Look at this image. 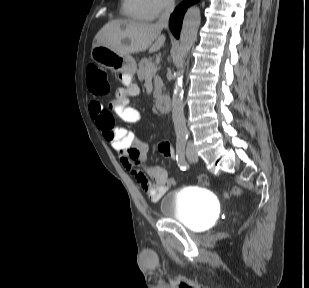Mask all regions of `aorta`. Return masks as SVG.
Segmentation results:
<instances>
[{"label":"aorta","instance_id":"obj_1","mask_svg":"<svg viewBox=\"0 0 309 288\" xmlns=\"http://www.w3.org/2000/svg\"><path fill=\"white\" fill-rule=\"evenodd\" d=\"M200 21V10L198 7L193 6L186 11L181 27L179 69L176 73L177 81L175 82L172 95V120L177 139H185L187 136L183 100L182 77L184 69L182 59L187 57L188 52L196 41Z\"/></svg>","mask_w":309,"mask_h":288}]
</instances>
